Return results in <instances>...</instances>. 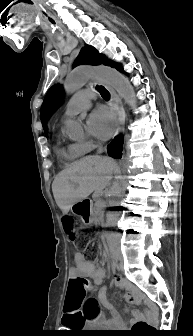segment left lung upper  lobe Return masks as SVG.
Masks as SVG:
<instances>
[{
    "label": "left lung upper lobe",
    "instance_id": "obj_1",
    "mask_svg": "<svg viewBox=\"0 0 193 336\" xmlns=\"http://www.w3.org/2000/svg\"><path fill=\"white\" fill-rule=\"evenodd\" d=\"M112 61L107 60L106 57L100 54L94 47L86 45L82 48L75 65L90 64L99 65L104 64L111 66ZM63 98V90L59 85L52 86L47 92L41 107V121L44 124L49 116L59 107Z\"/></svg>",
    "mask_w": 193,
    "mask_h": 336
}]
</instances>
